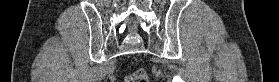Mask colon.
Returning <instances> with one entry per match:
<instances>
[{"instance_id":"colon-1","label":"colon","mask_w":279,"mask_h":82,"mask_svg":"<svg viewBox=\"0 0 279 82\" xmlns=\"http://www.w3.org/2000/svg\"><path fill=\"white\" fill-rule=\"evenodd\" d=\"M126 82H149V76L145 69L139 68L135 70L131 75L127 76Z\"/></svg>"}]
</instances>
